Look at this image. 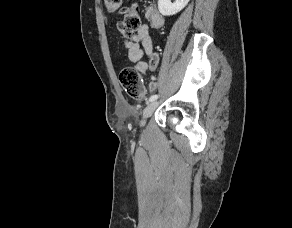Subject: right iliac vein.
I'll return each mask as SVG.
<instances>
[{
	"label": "right iliac vein",
	"instance_id": "63e3f726",
	"mask_svg": "<svg viewBox=\"0 0 292 228\" xmlns=\"http://www.w3.org/2000/svg\"><path fill=\"white\" fill-rule=\"evenodd\" d=\"M156 107H157V102H151L150 104H148V106L145 108L143 112V119L141 122L142 125H144L146 122V119L149 118L153 114Z\"/></svg>",
	"mask_w": 292,
	"mask_h": 228
}]
</instances>
